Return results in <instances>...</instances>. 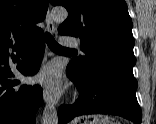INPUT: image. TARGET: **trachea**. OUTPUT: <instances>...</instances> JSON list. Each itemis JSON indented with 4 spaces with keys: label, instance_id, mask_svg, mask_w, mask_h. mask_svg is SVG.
Instances as JSON below:
<instances>
[{
    "label": "trachea",
    "instance_id": "1",
    "mask_svg": "<svg viewBox=\"0 0 156 124\" xmlns=\"http://www.w3.org/2000/svg\"><path fill=\"white\" fill-rule=\"evenodd\" d=\"M45 41H46L48 47L51 50H54V51H72L69 48H65V47H62L61 45H59L55 41V39L53 38V36L50 33H48V32L45 33Z\"/></svg>",
    "mask_w": 156,
    "mask_h": 124
}]
</instances>
